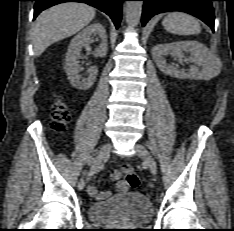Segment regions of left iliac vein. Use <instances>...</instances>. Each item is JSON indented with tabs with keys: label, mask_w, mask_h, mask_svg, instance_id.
Listing matches in <instances>:
<instances>
[{
	"label": "left iliac vein",
	"mask_w": 234,
	"mask_h": 231,
	"mask_svg": "<svg viewBox=\"0 0 234 231\" xmlns=\"http://www.w3.org/2000/svg\"><path fill=\"white\" fill-rule=\"evenodd\" d=\"M137 155L149 166L151 173L157 174V164L150 152L141 144L135 145Z\"/></svg>",
	"instance_id": "4c4485c4"
}]
</instances>
